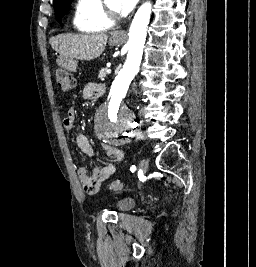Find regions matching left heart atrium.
I'll list each match as a JSON object with an SVG mask.
<instances>
[{"label":"left heart atrium","mask_w":256,"mask_h":267,"mask_svg":"<svg viewBox=\"0 0 256 267\" xmlns=\"http://www.w3.org/2000/svg\"><path fill=\"white\" fill-rule=\"evenodd\" d=\"M136 0H117L118 3V11L121 16L128 15L134 6Z\"/></svg>","instance_id":"obj_1"}]
</instances>
